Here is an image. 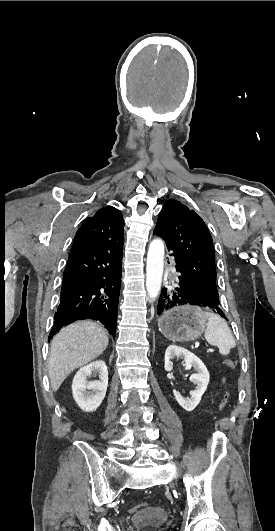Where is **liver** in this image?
Listing matches in <instances>:
<instances>
[{"mask_svg": "<svg viewBox=\"0 0 275 531\" xmlns=\"http://www.w3.org/2000/svg\"><path fill=\"white\" fill-rule=\"evenodd\" d=\"M51 343L48 373L53 391H58L69 373L102 355L109 339L97 323L78 321L63 327Z\"/></svg>", "mask_w": 275, "mask_h": 531, "instance_id": "1", "label": "liver"}]
</instances>
